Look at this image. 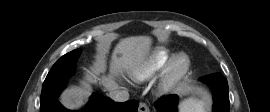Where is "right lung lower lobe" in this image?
Masks as SVG:
<instances>
[{"mask_svg": "<svg viewBox=\"0 0 270 112\" xmlns=\"http://www.w3.org/2000/svg\"><path fill=\"white\" fill-rule=\"evenodd\" d=\"M66 83L67 80L58 85H49L44 82L40 97V112H138L139 102L136 100L118 103L97 94L92 95L82 111L67 110L58 101L59 94Z\"/></svg>", "mask_w": 270, "mask_h": 112, "instance_id": "1", "label": "right lung lower lobe"}]
</instances>
